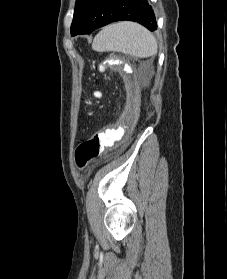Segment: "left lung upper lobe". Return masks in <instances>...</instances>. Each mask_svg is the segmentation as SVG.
Masks as SVG:
<instances>
[{"instance_id":"obj_1","label":"left lung upper lobe","mask_w":227,"mask_h":279,"mask_svg":"<svg viewBox=\"0 0 227 279\" xmlns=\"http://www.w3.org/2000/svg\"><path fill=\"white\" fill-rule=\"evenodd\" d=\"M92 1L93 0H76L73 22L71 24V35L81 29Z\"/></svg>"}]
</instances>
